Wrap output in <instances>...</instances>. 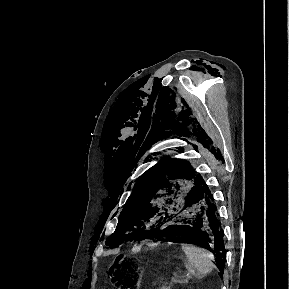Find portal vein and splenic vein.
<instances>
[{
    "instance_id": "1",
    "label": "portal vein and splenic vein",
    "mask_w": 289,
    "mask_h": 289,
    "mask_svg": "<svg viewBox=\"0 0 289 289\" xmlns=\"http://www.w3.org/2000/svg\"><path fill=\"white\" fill-rule=\"evenodd\" d=\"M178 282H181V278L179 276H175V277L171 278V284H175V283H178Z\"/></svg>"
}]
</instances>
